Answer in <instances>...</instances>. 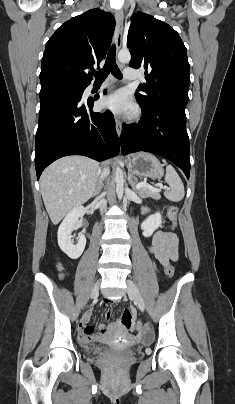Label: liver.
<instances>
[{"mask_svg": "<svg viewBox=\"0 0 235 404\" xmlns=\"http://www.w3.org/2000/svg\"><path fill=\"white\" fill-rule=\"evenodd\" d=\"M100 173L97 161L77 155L60 158L43 171L40 190L53 224L93 196Z\"/></svg>", "mask_w": 235, "mask_h": 404, "instance_id": "6515ba94", "label": "liver"}]
</instances>
